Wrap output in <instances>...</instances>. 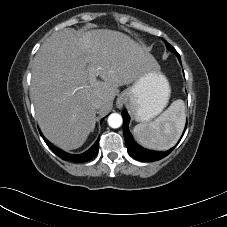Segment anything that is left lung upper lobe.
<instances>
[{
	"instance_id": "obj_1",
	"label": "left lung upper lobe",
	"mask_w": 227,
	"mask_h": 227,
	"mask_svg": "<svg viewBox=\"0 0 227 227\" xmlns=\"http://www.w3.org/2000/svg\"><path fill=\"white\" fill-rule=\"evenodd\" d=\"M164 40V39H163ZM165 44H166V47L171 51V52H174L177 57L179 58L180 60V55L178 54V52L175 50L174 47H172L166 40H164Z\"/></svg>"
}]
</instances>
